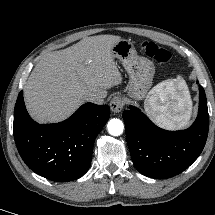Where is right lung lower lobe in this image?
I'll return each instance as SVG.
<instances>
[{
	"instance_id": "1",
	"label": "right lung lower lobe",
	"mask_w": 215,
	"mask_h": 215,
	"mask_svg": "<svg viewBox=\"0 0 215 215\" xmlns=\"http://www.w3.org/2000/svg\"><path fill=\"white\" fill-rule=\"evenodd\" d=\"M109 116V106L86 103L63 122L41 125L27 113L21 91L14 110L15 143L35 173L58 182L76 180L88 171L94 140Z\"/></svg>"
}]
</instances>
